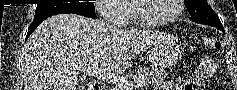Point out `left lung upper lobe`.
<instances>
[{"mask_svg": "<svg viewBox=\"0 0 237 90\" xmlns=\"http://www.w3.org/2000/svg\"><path fill=\"white\" fill-rule=\"evenodd\" d=\"M191 14L190 20L224 29L217 14L209 7L206 0H184Z\"/></svg>", "mask_w": 237, "mask_h": 90, "instance_id": "obj_1", "label": "left lung upper lobe"}]
</instances>
